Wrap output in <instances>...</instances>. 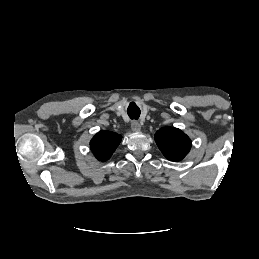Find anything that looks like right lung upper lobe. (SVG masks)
I'll return each mask as SVG.
<instances>
[{"label":"right lung upper lobe","instance_id":"right-lung-upper-lobe-1","mask_svg":"<svg viewBox=\"0 0 259 259\" xmlns=\"http://www.w3.org/2000/svg\"><path fill=\"white\" fill-rule=\"evenodd\" d=\"M121 142V136L114 132L100 131L90 142L95 157L100 161L108 160Z\"/></svg>","mask_w":259,"mask_h":259}]
</instances>
